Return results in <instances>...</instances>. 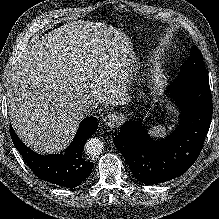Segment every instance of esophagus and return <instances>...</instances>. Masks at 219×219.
<instances>
[{
    "instance_id": "34e87169",
    "label": "esophagus",
    "mask_w": 219,
    "mask_h": 219,
    "mask_svg": "<svg viewBox=\"0 0 219 219\" xmlns=\"http://www.w3.org/2000/svg\"><path fill=\"white\" fill-rule=\"evenodd\" d=\"M103 122L109 127H115L121 123V117L116 112H109L103 118Z\"/></svg>"
}]
</instances>
